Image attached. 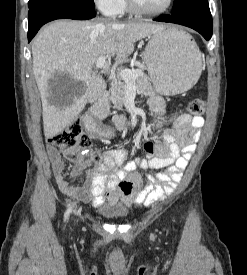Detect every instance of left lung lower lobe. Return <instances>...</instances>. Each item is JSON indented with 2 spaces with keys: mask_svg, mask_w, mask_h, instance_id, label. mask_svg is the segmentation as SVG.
<instances>
[{
  "mask_svg": "<svg viewBox=\"0 0 247 275\" xmlns=\"http://www.w3.org/2000/svg\"><path fill=\"white\" fill-rule=\"evenodd\" d=\"M155 21L171 22L190 27L199 32L207 41L213 32L212 16L209 8H201L178 15L161 16Z\"/></svg>",
  "mask_w": 247,
  "mask_h": 275,
  "instance_id": "left-lung-lower-lobe-1",
  "label": "left lung lower lobe"
}]
</instances>
